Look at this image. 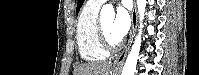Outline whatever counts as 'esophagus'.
<instances>
[{"label":"esophagus","mask_w":199,"mask_h":75,"mask_svg":"<svg viewBox=\"0 0 199 75\" xmlns=\"http://www.w3.org/2000/svg\"><path fill=\"white\" fill-rule=\"evenodd\" d=\"M136 27H137V8H136V3H134V8L132 10V27H131V32H130V38H129L128 44L125 47V49L116 57V59L114 61L115 66L121 67L123 65L126 55H127V52L129 51V48L133 41Z\"/></svg>","instance_id":"obj_1"}]
</instances>
